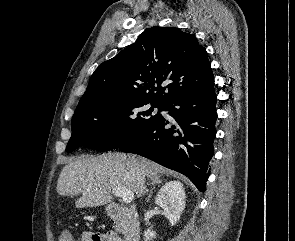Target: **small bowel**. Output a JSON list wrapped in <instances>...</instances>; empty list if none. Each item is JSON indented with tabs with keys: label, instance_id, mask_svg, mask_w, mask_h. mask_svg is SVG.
Masks as SVG:
<instances>
[{
	"label": "small bowel",
	"instance_id": "c3829d8e",
	"mask_svg": "<svg viewBox=\"0 0 295 241\" xmlns=\"http://www.w3.org/2000/svg\"><path fill=\"white\" fill-rule=\"evenodd\" d=\"M82 241H122L120 237L113 233L101 234L84 232L81 237Z\"/></svg>",
	"mask_w": 295,
	"mask_h": 241
}]
</instances>
